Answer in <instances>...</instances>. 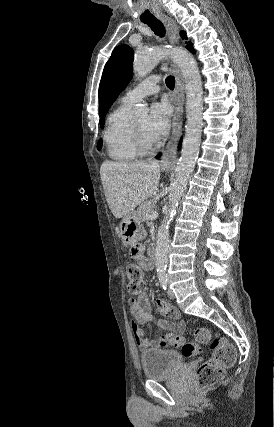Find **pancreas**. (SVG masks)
<instances>
[{"label": "pancreas", "mask_w": 274, "mask_h": 427, "mask_svg": "<svg viewBox=\"0 0 274 427\" xmlns=\"http://www.w3.org/2000/svg\"><path fill=\"white\" fill-rule=\"evenodd\" d=\"M156 204L157 198H151V200H146V202H142L137 212V215H139V219H142V221L148 219L149 215L153 214L154 208H156Z\"/></svg>", "instance_id": "pancreas-1"}]
</instances>
